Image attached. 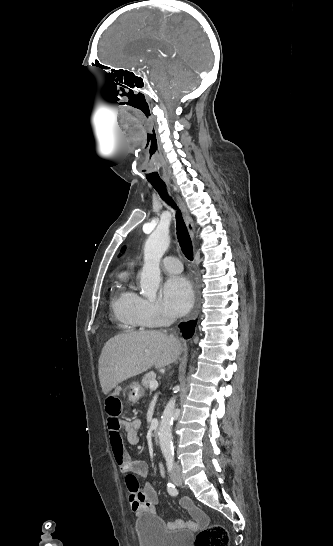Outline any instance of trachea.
<instances>
[{
    "mask_svg": "<svg viewBox=\"0 0 333 546\" xmlns=\"http://www.w3.org/2000/svg\"><path fill=\"white\" fill-rule=\"evenodd\" d=\"M158 176V173H154ZM152 186L154 189L159 193L161 198L166 201L168 204L173 206L177 212H176V224H177V236L178 241L181 247V250L185 254L186 258L190 261L193 260V247L192 242L190 240L187 227L185 225V222L182 218L181 211L178 209V207L175 205L172 198L168 195L166 185L160 184V183H152Z\"/></svg>",
    "mask_w": 333,
    "mask_h": 546,
    "instance_id": "1",
    "label": "trachea"
}]
</instances>
